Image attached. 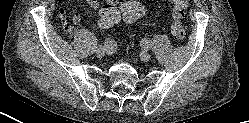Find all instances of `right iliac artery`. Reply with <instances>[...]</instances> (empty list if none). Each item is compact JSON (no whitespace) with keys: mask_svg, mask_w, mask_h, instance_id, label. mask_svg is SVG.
I'll list each match as a JSON object with an SVG mask.
<instances>
[{"mask_svg":"<svg viewBox=\"0 0 249 123\" xmlns=\"http://www.w3.org/2000/svg\"><path fill=\"white\" fill-rule=\"evenodd\" d=\"M104 46H105L106 48L111 47V46H112V40L109 39V38L106 39L105 42H104Z\"/></svg>","mask_w":249,"mask_h":123,"instance_id":"right-iliac-artery-1","label":"right iliac artery"}]
</instances>
